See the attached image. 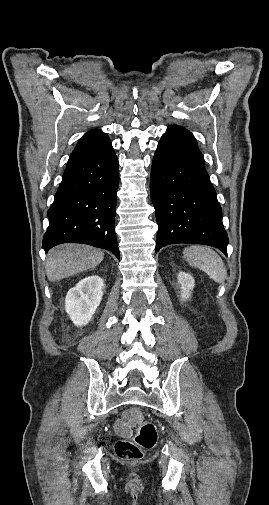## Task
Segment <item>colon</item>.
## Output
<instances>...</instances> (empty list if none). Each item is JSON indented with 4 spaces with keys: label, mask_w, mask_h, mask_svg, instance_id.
<instances>
[{
    "label": "colon",
    "mask_w": 269,
    "mask_h": 505,
    "mask_svg": "<svg viewBox=\"0 0 269 505\" xmlns=\"http://www.w3.org/2000/svg\"><path fill=\"white\" fill-rule=\"evenodd\" d=\"M130 421L137 426L134 440H119L114 447L116 456L125 461L141 459L143 450L154 447L158 437L155 424L145 421L140 411L132 410Z\"/></svg>",
    "instance_id": "colon-1"
}]
</instances>
